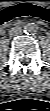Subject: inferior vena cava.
<instances>
[{"label":"inferior vena cava","mask_w":50,"mask_h":111,"mask_svg":"<svg viewBox=\"0 0 50 111\" xmlns=\"http://www.w3.org/2000/svg\"><path fill=\"white\" fill-rule=\"evenodd\" d=\"M21 33H22V28L19 26L12 27L9 30V35H11V36H17V35H20Z\"/></svg>","instance_id":"1"}]
</instances>
